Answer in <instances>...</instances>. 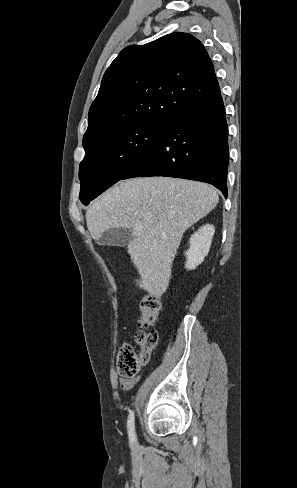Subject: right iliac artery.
Returning <instances> with one entry per match:
<instances>
[{"label":"right iliac artery","mask_w":297,"mask_h":488,"mask_svg":"<svg viewBox=\"0 0 297 488\" xmlns=\"http://www.w3.org/2000/svg\"><path fill=\"white\" fill-rule=\"evenodd\" d=\"M127 429L128 434L131 442L135 441V431H134V412L130 411L128 420H127Z\"/></svg>","instance_id":"82829eb1"}]
</instances>
